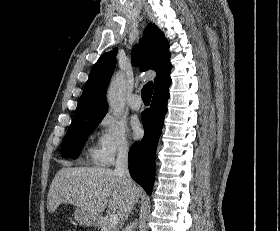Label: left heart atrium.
<instances>
[{"label": "left heart atrium", "instance_id": "left-heart-atrium-1", "mask_svg": "<svg viewBox=\"0 0 280 231\" xmlns=\"http://www.w3.org/2000/svg\"><path fill=\"white\" fill-rule=\"evenodd\" d=\"M130 131L134 139H139L142 137L144 129L141 122L137 118H133L130 121Z\"/></svg>", "mask_w": 280, "mask_h": 231}]
</instances>
